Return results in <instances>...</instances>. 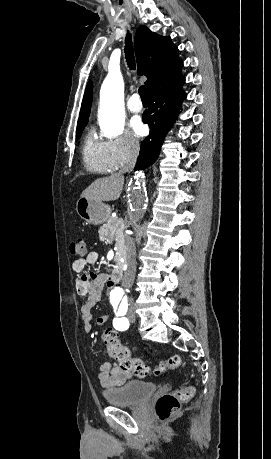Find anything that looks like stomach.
<instances>
[{
	"label": "stomach",
	"mask_w": 271,
	"mask_h": 459,
	"mask_svg": "<svg viewBox=\"0 0 271 459\" xmlns=\"http://www.w3.org/2000/svg\"><path fill=\"white\" fill-rule=\"evenodd\" d=\"M76 212L86 224H103L110 218L111 210L99 200H89V198H80L77 202Z\"/></svg>",
	"instance_id": "stomach-1"
}]
</instances>
